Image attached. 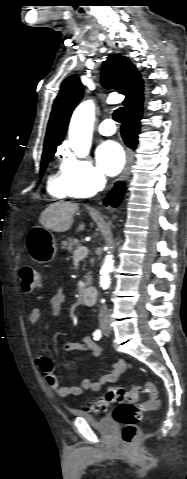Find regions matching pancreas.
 Instances as JSON below:
<instances>
[{"label": "pancreas", "instance_id": "obj_1", "mask_svg": "<svg viewBox=\"0 0 187 479\" xmlns=\"http://www.w3.org/2000/svg\"><path fill=\"white\" fill-rule=\"evenodd\" d=\"M62 248L67 249L69 252L74 253V251L81 246L80 242L76 238H67L61 242ZM85 286H89L92 281V276L88 273L85 276Z\"/></svg>", "mask_w": 187, "mask_h": 479}]
</instances>
